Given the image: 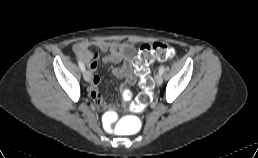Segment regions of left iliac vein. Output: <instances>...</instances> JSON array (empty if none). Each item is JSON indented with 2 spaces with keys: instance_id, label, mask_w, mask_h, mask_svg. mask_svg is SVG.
I'll list each match as a JSON object with an SVG mask.
<instances>
[{
  "instance_id": "1",
  "label": "left iliac vein",
  "mask_w": 258,
  "mask_h": 158,
  "mask_svg": "<svg viewBox=\"0 0 258 158\" xmlns=\"http://www.w3.org/2000/svg\"><path fill=\"white\" fill-rule=\"evenodd\" d=\"M155 81L158 85L162 84V81H163L162 74L160 73L156 74Z\"/></svg>"
}]
</instances>
